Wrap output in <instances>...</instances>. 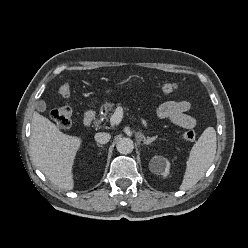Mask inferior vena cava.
<instances>
[{"label":"inferior vena cava","mask_w":248,"mask_h":248,"mask_svg":"<svg viewBox=\"0 0 248 248\" xmlns=\"http://www.w3.org/2000/svg\"><path fill=\"white\" fill-rule=\"evenodd\" d=\"M111 138V135L109 133L105 132H99L95 134V140L100 144L107 143Z\"/></svg>","instance_id":"1"}]
</instances>
